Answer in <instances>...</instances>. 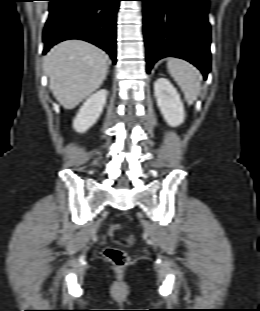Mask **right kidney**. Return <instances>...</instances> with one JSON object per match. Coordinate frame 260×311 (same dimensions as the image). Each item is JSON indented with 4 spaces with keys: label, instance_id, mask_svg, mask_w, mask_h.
<instances>
[{
    "label": "right kidney",
    "instance_id": "ca27d5eb",
    "mask_svg": "<svg viewBox=\"0 0 260 311\" xmlns=\"http://www.w3.org/2000/svg\"><path fill=\"white\" fill-rule=\"evenodd\" d=\"M107 95L108 91L101 89L84 102L73 120V128L76 132L84 133L96 123L103 111Z\"/></svg>",
    "mask_w": 260,
    "mask_h": 311
}]
</instances>
